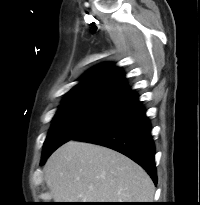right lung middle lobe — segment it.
<instances>
[{
	"label": "right lung middle lobe",
	"mask_w": 200,
	"mask_h": 205,
	"mask_svg": "<svg viewBox=\"0 0 200 205\" xmlns=\"http://www.w3.org/2000/svg\"><path fill=\"white\" fill-rule=\"evenodd\" d=\"M115 101L80 99L64 101L53 119L44 143L42 160L105 113Z\"/></svg>",
	"instance_id": "dd1d6c3e"
}]
</instances>
